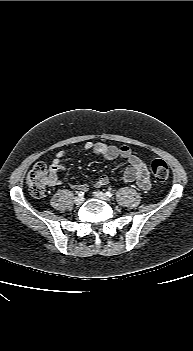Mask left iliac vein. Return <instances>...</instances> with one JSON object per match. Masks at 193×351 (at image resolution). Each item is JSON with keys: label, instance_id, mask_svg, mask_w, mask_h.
Wrapping results in <instances>:
<instances>
[{"label": "left iliac vein", "instance_id": "1", "mask_svg": "<svg viewBox=\"0 0 193 351\" xmlns=\"http://www.w3.org/2000/svg\"><path fill=\"white\" fill-rule=\"evenodd\" d=\"M94 196L98 199L104 200L106 202H109L111 199L109 196H107L106 193L102 192V191H95L94 192Z\"/></svg>", "mask_w": 193, "mask_h": 351}]
</instances>
